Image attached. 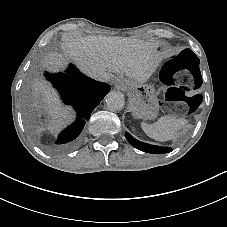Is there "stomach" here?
<instances>
[{"label":"stomach","instance_id":"stomach-1","mask_svg":"<svg viewBox=\"0 0 227 227\" xmlns=\"http://www.w3.org/2000/svg\"><path fill=\"white\" fill-rule=\"evenodd\" d=\"M131 97L133 114L138 118L153 119L159 111L158 97L153 85L130 80L118 82Z\"/></svg>","mask_w":227,"mask_h":227}]
</instances>
